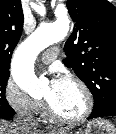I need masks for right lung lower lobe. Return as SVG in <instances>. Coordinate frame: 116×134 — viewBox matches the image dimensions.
I'll use <instances>...</instances> for the list:
<instances>
[{"instance_id":"right-lung-lower-lobe-1","label":"right lung lower lobe","mask_w":116,"mask_h":134,"mask_svg":"<svg viewBox=\"0 0 116 134\" xmlns=\"http://www.w3.org/2000/svg\"><path fill=\"white\" fill-rule=\"evenodd\" d=\"M15 114V111L13 110L12 112L8 113V114H4V116H0V118H8L11 117Z\"/></svg>"}]
</instances>
